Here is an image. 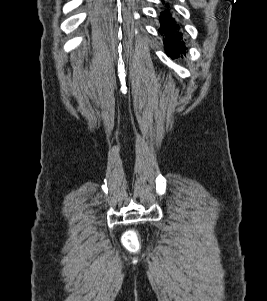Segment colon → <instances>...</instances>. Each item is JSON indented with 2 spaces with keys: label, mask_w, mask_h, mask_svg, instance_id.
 I'll use <instances>...</instances> for the list:
<instances>
[{
  "label": "colon",
  "mask_w": 267,
  "mask_h": 301,
  "mask_svg": "<svg viewBox=\"0 0 267 301\" xmlns=\"http://www.w3.org/2000/svg\"><path fill=\"white\" fill-rule=\"evenodd\" d=\"M123 242L128 250L134 251L138 248L137 236L132 232H129L124 236Z\"/></svg>",
  "instance_id": "colon-1"
}]
</instances>
